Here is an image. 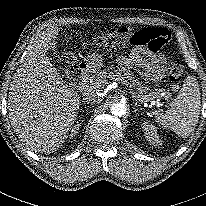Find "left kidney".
<instances>
[{"label":"left kidney","instance_id":"left-kidney-1","mask_svg":"<svg viewBox=\"0 0 206 206\" xmlns=\"http://www.w3.org/2000/svg\"><path fill=\"white\" fill-rule=\"evenodd\" d=\"M142 129L144 131V135L146 140L151 144V145H161V140L157 134V130L154 125L148 123V122H143L142 123Z\"/></svg>","mask_w":206,"mask_h":206}]
</instances>
